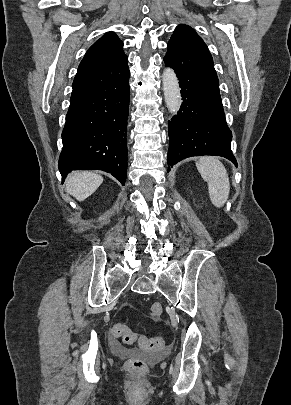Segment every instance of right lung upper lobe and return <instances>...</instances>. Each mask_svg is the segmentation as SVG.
Instances as JSON below:
<instances>
[{"label": "right lung upper lobe", "instance_id": "right-lung-upper-lobe-1", "mask_svg": "<svg viewBox=\"0 0 291 405\" xmlns=\"http://www.w3.org/2000/svg\"><path fill=\"white\" fill-rule=\"evenodd\" d=\"M123 42L113 32L104 34L86 52L74 78L72 96L124 75L128 58Z\"/></svg>", "mask_w": 291, "mask_h": 405}]
</instances>
